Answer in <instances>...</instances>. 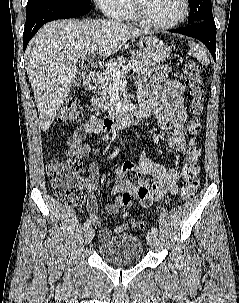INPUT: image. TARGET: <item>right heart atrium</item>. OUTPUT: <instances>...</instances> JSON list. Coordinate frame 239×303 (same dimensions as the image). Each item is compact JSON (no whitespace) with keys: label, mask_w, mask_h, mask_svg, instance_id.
<instances>
[{"label":"right heart atrium","mask_w":239,"mask_h":303,"mask_svg":"<svg viewBox=\"0 0 239 303\" xmlns=\"http://www.w3.org/2000/svg\"><path fill=\"white\" fill-rule=\"evenodd\" d=\"M98 8L111 18L117 19L126 9L127 0H94Z\"/></svg>","instance_id":"1"}]
</instances>
